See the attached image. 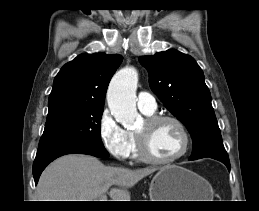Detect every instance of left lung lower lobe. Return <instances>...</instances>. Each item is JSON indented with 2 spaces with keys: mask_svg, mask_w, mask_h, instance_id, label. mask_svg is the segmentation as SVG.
Instances as JSON below:
<instances>
[{
  "mask_svg": "<svg viewBox=\"0 0 259 211\" xmlns=\"http://www.w3.org/2000/svg\"><path fill=\"white\" fill-rule=\"evenodd\" d=\"M213 159L219 160L222 163H224L226 165V167L228 168V170L230 171V162H229V158L225 159V158H218V157H211Z\"/></svg>",
  "mask_w": 259,
  "mask_h": 211,
  "instance_id": "0a47b994",
  "label": "left lung lower lobe"
}]
</instances>
